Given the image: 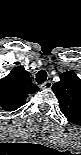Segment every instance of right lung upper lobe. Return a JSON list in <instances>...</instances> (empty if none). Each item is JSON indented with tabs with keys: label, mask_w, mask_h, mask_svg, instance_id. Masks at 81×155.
Instances as JSON below:
<instances>
[{
	"label": "right lung upper lobe",
	"mask_w": 81,
	"mask_h": 155,
	"mask_svg": "<svg viewBox=\"0 0 81 155\" xmlns=\"http://www.w3.org/2000/svg\"><path fill=\"white\" fill-rule=\"evenodd\" d=\"M39 88L23 66H18L0 80V106L6 111L20 108L28 94L37 92Z\"/></svg>",
	"instance_id": "cb5924a9"
}]
</instances>
